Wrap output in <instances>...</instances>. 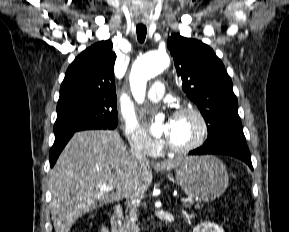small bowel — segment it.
<instances>
[{"mask_svg":"<svg viewBox=\"0 0 289 232\" xmlns=\"http://www.w3.org/2000/svg\"><path fill=\"white\" fill-rule=\"evenodd\" d=\"M101 232H109V230H108L107 228L103 227V228L101 229Z\"/></svg>","mask_w":289,"mask_h":232,"instance_id":"obj_1","label":"small bowel"}]
</instances>
